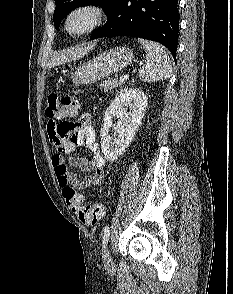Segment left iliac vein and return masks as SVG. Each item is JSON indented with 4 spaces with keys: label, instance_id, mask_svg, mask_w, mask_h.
<instances>
[{
    "label": "left iliac vein",
    "instance_id": "obj_1",
    "mask_svg": "<svg viewBox=\"0 0 233 294\" xmlns=\"http://www.w3.org/2000/svg\"><path fill=\"white\" fill-rule=\"evenodd\" d=\"M103 262L106 267H111L113 265L112 256L109 248L105 245L102 251Z\"/></svg>",
    "mask_w": 233,
    "mask_h": 294
}]
</instances>
